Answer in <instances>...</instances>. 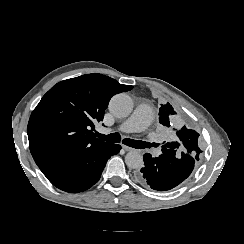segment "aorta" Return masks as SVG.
<instances>
[{"mask_svg": "<svg viewBox=\"0 0 244 244\" xmlns=\"http://www.w3.org/2000/svg\"><path fill=\"white\" fill-rule=\"evenodd\" d=\"M109 110L115 117H127L133 110V101L125 93L117 94L110 100ZM125 163L131 169H139L144 164L143 156L137 150H132L126 154Z\"/></svg>", "mask_w": 244, "mask_h": 244, "instance_id": "1", "label": "aorta"}]
</instances>
